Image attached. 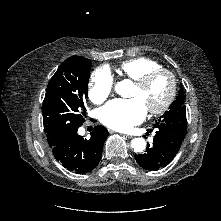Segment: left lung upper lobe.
<instances>
[{
    "label": "left lung upper lobe",
    "instance_id": "5c2ea615",
    "mask_svg": "<svg viewBox=\"0 0 221 221\" xmlns=\"http://www.w3.org/2000/svg\"><path fill=\"white\" fill-rule=\"evenodd\" d=\"M184 91L181 89L175 101L170 105L169 110L166 111L154 124V127L159 124H166L186 134V107L184 105Z\"/></svg>",
    "mask_w": 221,
    "mask_h": 221
}]
</instances>
